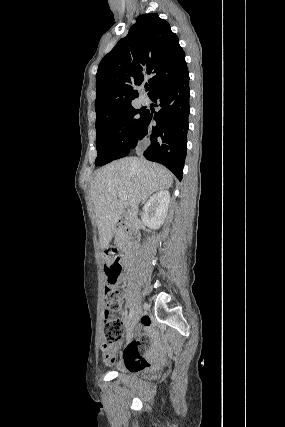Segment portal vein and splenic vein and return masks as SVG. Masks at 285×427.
<instances>
[{
	"label": "portal vein and splenic vein",
	"mask_w": 285,
	"mask_h": 427,
	"mask_svg": "<svg viewBox=\"0 0 285 427\" xmlns=\"http://www.w3.org/2000/svg\"><path fill=\"white\" fill-rule=\"evenodd\" d=\"M118 197H119V199H120L122 202H125V201H126V196H125V194H123V193H119Z\"/></svg>",
	"instance_id": "portal-vein-and-splenic-vein-1"
}]
</instances>
